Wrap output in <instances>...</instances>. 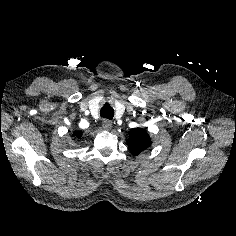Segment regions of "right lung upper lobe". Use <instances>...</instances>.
Returning <instances> with one entry per match:
<instances>
[{
	"label": "right lung upper lobe",
	"instance_id": "cb5924a9",
	"mask_svg": "<svg viewBox=\"0 0 236 236\" xmlns=\"http://www.w3.org/2000/svg\"><path fill=\"white\" fill-rule=\"evenodd\" d=\"M75 136L77 137V138H80L81 137V133L80 132H75Z\"/></svg>",
	"mask_w": 236,
	"mask_h": 236
}]
</instances>
